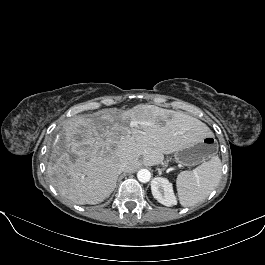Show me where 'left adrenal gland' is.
Here are the masks:
<instances>
[{"label":"left adrenal gland","instance_id":"1","mask_svg":"<svg viewBox=\"0 0 265 265\" xmlns=\"http://www.w3.org/2000/svg\"><path fill=\"white\" fill-rule=\"evenodd\" d=\"M158 172H159V175H161V173H162V170H161V169H158Z\"/></svg>","mask_w":265,"mask_h":265}]
</instances>
